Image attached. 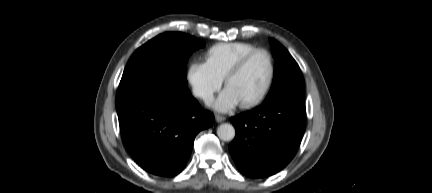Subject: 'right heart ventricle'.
<instances>
[{"mask_svg":"<svg viewBox=\"0 0 432 193\" xmlns=\"http://www.w3.org/2000/svg\"><path fill=\"white\" fill-rule=\"evenodd\" d=\"M255 48L256 45L248 42L219 43L207 51L206 63L221 80H224L229 70Z\"/></svg>","mask_w":432,"mask_h":193,"instance_id":"e07e8e85","label":"right heart ventricle"}]
</instances>
